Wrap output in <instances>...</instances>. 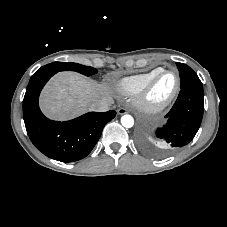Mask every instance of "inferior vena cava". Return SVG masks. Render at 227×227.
Listing matches in <instances>:
<instances>
[{"mask_svg":"<svg viewBox=\"0 0 227 227\" xmlns=\"http://www.w3.org/2000/svg\"><path fill=\"white\" fill-rule=\"evenodd\" d=\"M113 100L110 98H102L97 100L96 102L92 103L91 109L97 112H106L109 110L110 106L112 105Z\"/></svg>","mask_w":227,"mask_h":227,"instance_id":"obj_1","label":"inferior vena cava"}]
</instances>
